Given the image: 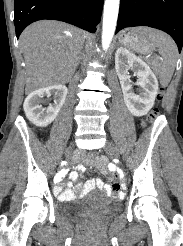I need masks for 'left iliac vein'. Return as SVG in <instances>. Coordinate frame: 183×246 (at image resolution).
<instances>
[{
  "label": "left iliac vein",
  "mask_w": 183,
  "mask_h": 246,
  "mask_svg": "<svg viewBox=\"0 0 183 246\" xmlns=\"http://www.w3.org/2000/svg\"><path fill=\"white\" fill-rule=\"evenodd\" d=\"M105 151L108 153V154H110V155H112V156H114V157H119V153H118V151H117V149L113 146V144L111 143V142H107V144H106V146H105Z\"/></svg>",
  "instance_id": "4c4485c4"
}]
</instances>
